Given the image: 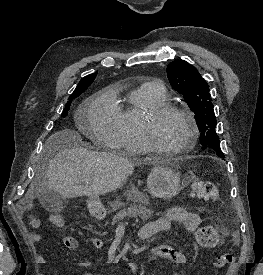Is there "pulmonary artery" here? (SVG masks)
Masks as SVG:
<instances>
[{
	"label": "pulmonary artery",
	"instance_id": "pulmonary-artery-1",
	"mask_svg": "<svg viewBox=\"0 0 263 275\" xmlns=\"http://www.w3.org/2000/svg\"><path fill=\"white\" fill-rule=\"evenodd\" d=\"M155 84L160 88V89H162L163 90V87H162V85L160 84V83H158V82H155Z\"/></svg>",
	"mask_w": 263,
	"mask_h": 275
}]
</instances>
